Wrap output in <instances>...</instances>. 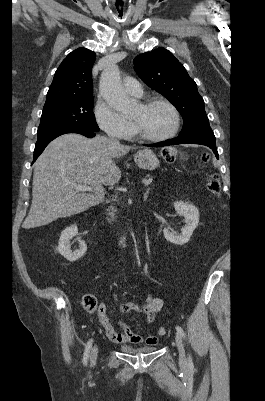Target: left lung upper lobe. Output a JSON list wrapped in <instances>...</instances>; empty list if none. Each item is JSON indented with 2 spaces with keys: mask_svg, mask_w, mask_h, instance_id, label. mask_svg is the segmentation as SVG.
Masks as SVG:
<instances>
[{
  "mask_svg": "<svg viewBox=\"0 0 265 401\" xmlns=\"http://www.w3.org/2000/svg\"><path fill=\"white\" fill-rule=\"evenodd\" d=\"M133 63L142 81L165 96L182 115L184 125L180 134L209 126L196 83L171 52L159 47L138 55Z\"/></svg>",
  "mask_w": 265,
  "mask_h": 401,
  "instance_id": "5c2ea615",
  "label": "left lung upper lobe"
}]
</instances>
